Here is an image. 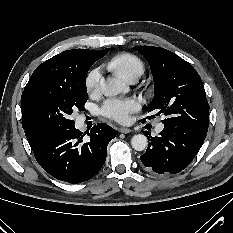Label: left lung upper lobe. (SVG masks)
<instances>
[{
  "mask_svg": "<svg viewBox=\"0 0 233 233\" xmlns=\"http://www.w3.org/2000/svg\"><path fill=\"white\" fill-rule=\"evenodd\" d=\"M134 49L147 60L153 75L154 98L148 112L166 115L163 124L185 125L207 133L209 106L203 83L193 66L164 48L137 46Z\"/></svg>",
  "mask_w": 233,
  "mask_h": 233,
  "instance_id": "left-lung-upper-lobe-1",
  "label": "left lung upper lobe"
}]
</instances>
